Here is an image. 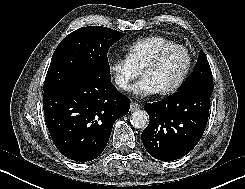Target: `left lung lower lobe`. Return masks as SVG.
I'll return each mask as SVG.
<instances>
[{
    "instance_id": "0a47b994",
    "label": "left lung lower lobe",
    "mask_w": 245,
    "mask_h": 189,
    "mask_svg": "<svg viewBox=\"0 0 245 189\" xmlns=\"http://www.w3.org/2000/svg\"><path fill=\"white\" fill-rule=\"evenodd\" d=\"M211 95L200 88H188L145 104L150 122L142 142L147 152L161 161L177 160L189 153L204 133Z\"/></svg>"
}]
</instances>
